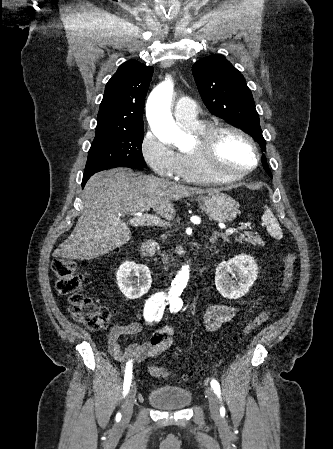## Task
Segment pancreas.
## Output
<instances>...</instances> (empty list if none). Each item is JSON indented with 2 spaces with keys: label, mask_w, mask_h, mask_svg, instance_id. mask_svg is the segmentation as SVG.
Masks as SVG:
<instances>
[{
  "label": "pancreas",
  "mask_w": 333,
  "mask_h": 449,
  "mask_svg": "<svg viewBox=\"0 0 333 449\" xmlns=\"http://www.w3.org/2000/svg\"><path fill=\"white\" fill-rule=\"evenodd\" d=\"M235 240L242 243L246 242L248 244H251L253 246H263V241L257 234H253L251 232H243L240 233L238 236L235 237Z\"/></svg>",
  "instance_id": "1"
}]
</instances>
